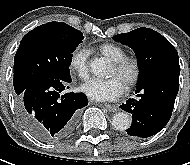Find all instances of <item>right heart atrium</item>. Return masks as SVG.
<instances>
[{
    "instance_id": "right-heart-atrium-1",
    "label": "right heart atrium",
    "mask_w": 190,
    "mask_h": 165,
    "mask_svg": "<svg viewBox=\"0 0 190 165\" xmlns=\"http://www.w3.org/2000/svg\"><path fill=\"white\" fill-rule=\"evenodd\" d=\"M69 69L81 80H87L90 75L89 51L84 48L74 50L69 58Z\"/></svg>"
}]
</instances>
